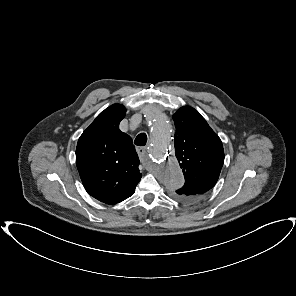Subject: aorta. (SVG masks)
I'll use <instances>...</instances> for the list:
<instances>
[{"instance_id": "obj_1", "label": "aorta", "mask_w": 296, "mask_h": 296, "mask_svg": "<svg viewBox=\"0 0 296 296\" xmlns=\"http://www.w3.org/2000/svg\"><path fill=\"white\" fill-rule=\"evenodd\" d=\"M150 118L152 123L149 145L156 176L168 188H178L183 185L184 177L177 160L172 158L174 125L156 107L150 109Z\"/></svg>"}]
</instances>
